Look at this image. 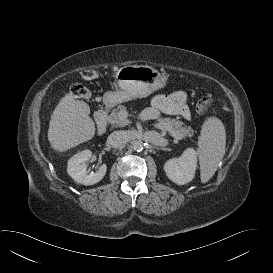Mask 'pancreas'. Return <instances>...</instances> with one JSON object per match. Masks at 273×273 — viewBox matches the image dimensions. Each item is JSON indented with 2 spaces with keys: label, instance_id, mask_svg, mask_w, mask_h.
I'll list each match as a JSON object with an SVG mask.
<instances>
[{
  "label": "pancreas",
  "instance_id": "cf45deb5",
  "mask_svg": "<svg viewBox=\"0 0 273 273\" xmlns=\"http://www.w3.org/2000/svg\"><path fill=\"white\" fill-rule=\"evenodd\" d=\"M126 107L123 105L117 106L113 109L108 117V121L112 124L113 127H124L130 124V120L126 117H122L121 112L125 111ZM154 126L162 131L164 134L166 131H169L174 138H184L187 136L193 135V130L191 127H187L183 122L171 118H160Z\"/></svg>",
  "mask_w": 273,
  "mask_h": 273
}]
</instances>
